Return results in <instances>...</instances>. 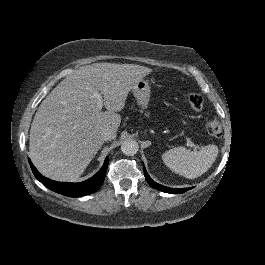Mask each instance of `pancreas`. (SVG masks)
<instances>
[{"label":"pancreas","mask_w":265,"mask_h":265,"mask_svg":"<svg viewBox=\"0 0 265 265\" xmlns=\"http://www.w3.org/2000/svg\"><path fill=\"white\" fill-rule=\"evenodd\" d=\"M141 112H142V111H141ZM145 116H146V117H149V112L145 113Z\"/></svg>","instance_id":"pancreas-1"}]
</instances>
